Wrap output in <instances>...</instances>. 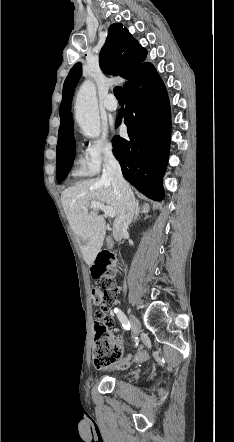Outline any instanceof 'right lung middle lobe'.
Wrapping results in <instances>:
<instances>
[{
	"instance_id": "right-lung-middle-lobe-1",
	"label": "right lung middle lobe",
	"mask_w": 234,
	"mask_h": 442,
	"mask_svg": "<svg viewBox=\"0 0 234 442\" xmlns=\"http://www.w3.org/2000/svg\"><path fill=\"white\" fill-rule=\"evenodd\" d=\"M74 144L75 139L74 135H72L65 144L57 147L56 175L58 183L63 181L71 170L72 162L74 161L76 155Z\"/></svg>"
}]
</instances>
